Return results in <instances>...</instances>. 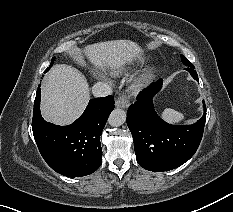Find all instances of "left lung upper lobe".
I'll return each instance as SVG.
<instances>
[{
  "instance_id": "obj_1",
  "label": "left lung upper lobe",
  "mask_w": 233,
  "mask_h": 212,
  "mask_svg": "<svg viewBox=\"0 0 233 212\" xmlns=\"http://www.w3.org/2000/svg\"><path fill=\"white\" fill-rule=\"evenodd\" d=\"M181 59H182V62H183L188 68L194 69V66H193L183 55H181ZM188 68H186V70H188Z\"/></svg>"
}]
</instances>
